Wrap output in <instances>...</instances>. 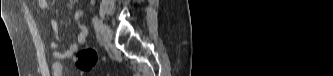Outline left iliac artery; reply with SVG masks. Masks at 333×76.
I'll list each match as a JSON object with an SVG mask.
<instances>
[{"instance_id":"obj_1","label":"left iliac artery","mask_w":333,"mask_h":76,"mask_svg":"<svg viewBox=\"0 0 333 76\" xmlns=\"http://www.w3.org/2000/svg\"><path fill=\"white\" fill-rule=\"evenodd\" d=\"M92 23H93V25L96 29H99V27L101 26V22L98 19V17H93L92 18Z\"/></svg>"}]
</instances>
